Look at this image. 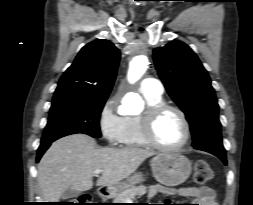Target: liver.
<instances>
[{
  "mask_svg": "<svg viewBox=\"0 0 253 205\" xmlns=\"http://www.w3.org/2000/svg\"><path fill=\"white\" fill-rule=\"evenodd\" d=\"M155 153L136 147L97 148L85 134H72L55 141L38 164V184L45 202H58L66 189L90 190L95 170H102L97 186H109L128 178Z\"/></svg>",
  "mask_w": 253,
  "mask_h": 205,
  "instance_id": "6515ba94",
  "label": "liver"
}]
</instances>
